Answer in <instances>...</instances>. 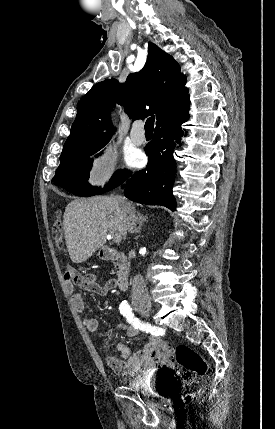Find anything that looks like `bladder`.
Segmentation results:
<instances>
[{"mask_svg": "<svg viewBox=\"0 0 275 429\" xmlns=\"http://www.w3.org/2000/svg\"><path fill=\"white\" fill-rule=\"evenodd\" d=\"M129 386L140 398H155L156 403H171L172 398H179V389L175 377H146L131 381Z\"/></svg>", "mask_w": 275, "mask_h": 429, "instance_id": "obj_1", "label": "bladder"}]
</instances>
